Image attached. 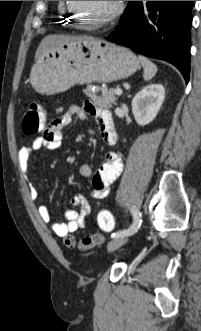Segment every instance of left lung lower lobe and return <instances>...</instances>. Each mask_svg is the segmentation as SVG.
I'll return each mask as SVG.
<instances>
[{
  "label": "left lung lower lobe",
  "mask_w": 201,
  "mask_h": 331,
  "mask_svg": "<svg viewBox=\"0 0 201 331\" xmlns=\"http://www.w3.org/2000/svg\"><path fill=\"white\" fill-rule=\"evenodd\" d=\"M194 1H129L119 26L105 39L190 73V29Z\"/></svg>",
  "instance_id": "left-lung-lower-lobe-1"
}]
</instances>
